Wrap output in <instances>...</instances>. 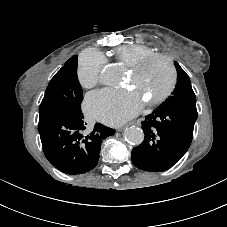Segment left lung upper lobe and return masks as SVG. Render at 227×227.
<instances>
[{"instance_id":"obj_1","label":"left lung upper lobe","mask_w":227,"mask_h":227,"mask_svg":"<svg viewBox=\"0 0 227 227\" xmlns=\"http://www.w3.org/2000/svg\"><path fill=\"white\" fill-rule=\"evenodd\" d=\"M175 66L178 72L176 88L172 95L169 96V98L163 102L160 107L181 105L196 108V97L193 92L190 79L177 62L175 63Z\"/></svg>"}]
</instances>
